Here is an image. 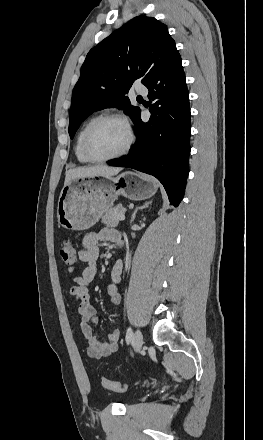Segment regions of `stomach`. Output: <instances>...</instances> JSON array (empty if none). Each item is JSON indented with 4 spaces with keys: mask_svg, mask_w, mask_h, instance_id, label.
<instances>
[{
    "mask_svg": "<svg viewBox=\"0 0 263 440\" xmlns=\"http://www.w3.org/2000/svg\"><path fill=\"white\" fill-rule=\"evenodd\" d=\"M158 183L134 172L116 178L98 176L75 178L64 185L58 206V224L67 230L82 231L92 227L110 209L119 195L130 200L152 197Z\"/></svg>",
    "mask_w": 263,
    "mask_h": 440,
    "instance_id": "0dacf381",
    "label": "stomach"
}]
</instances>
